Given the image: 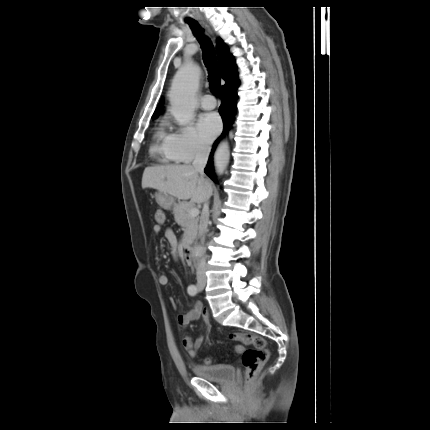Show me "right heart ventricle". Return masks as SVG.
Masks as SVG:
<instances>
[{
	"instance_id": "right-heart-ventricle-1",
	"label": "right heart ventricle",
	"mask_w": 430,
	"mask_h": 430,
	"mask_svg": "<svg viewBox=\"0 0 430 430\" xmlns=\"http://www.w3.org/2000/svg\"><path fill=\"white\" fill-rule=\"evenodd\" d=\"M169 136L164 123L159 125L153 135L151 153L163 163L177 162L169 147Z\"/></svg>"
}]
</instances>
